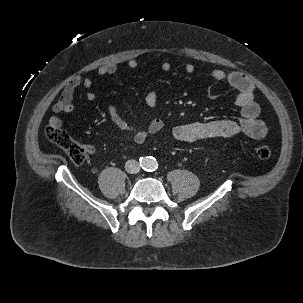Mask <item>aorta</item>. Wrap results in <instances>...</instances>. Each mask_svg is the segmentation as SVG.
I'll return each instance as SVG.
<instances>
[{
  "instance_id": "aorta-1",
  "label": "aorta",
  "mask_w": 303,
  "mask_h": 303,
  "mask_svg": "<svg viewBox=\"0 0 303 303\" xmlns=\"http://www.w3.org/2000/svg\"><path fill=\"white\" fill-rule=\"evenodd\" d=\"M142 166L148 171H154L157 169L158 163L154 157H145L142 161Z\"/></svg>"
}]
</instances>
